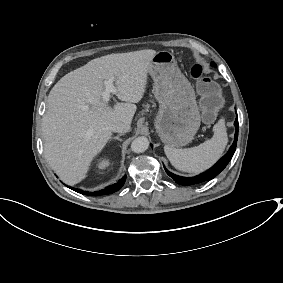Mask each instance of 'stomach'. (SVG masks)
I'll list each match as a JSON object with an SVG mask.
<instances>
[{
	"label": "stomach",
	"mask_w": 283,
	"mask_h": 283,
	"mask_svg": "<svg viewBox=\"0 0 283 283\" xmlns=\"http://www.w3.org/2000/svg\"><path fill=\"white\" fill-rule=\"evenodd\" d=\"M149 73L160 104L153 122L160 140L172 147L187 145L201 122L190 82L181 74L173 55L165 51L155 55Z\"/></svg>",
	"instance_id": "stomach-1"
}]
</instances>
